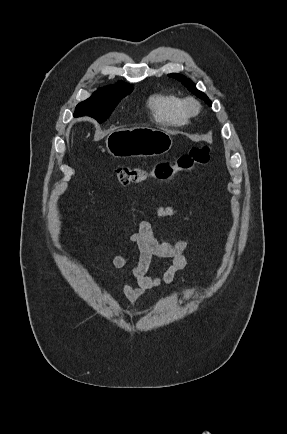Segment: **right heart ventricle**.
I'll use <instances>...</instances> for the list:
<instances>
[{"label": "right heart ventricle", "mask_w": 287, "mask_h": 434, "mask_svg": "<svg viewBox=\"0 0 287 434\" xmlns=\"http://www.w3.org/2000/svg\"><path fill=\"white\" fill-rule=\"evenodd\" d=\"M149 108L153 117L160 123L183 125L188 122L182 100L171 93H157L149 100Z\"/></svg>", "instance_id": "1"}]
</instances>
